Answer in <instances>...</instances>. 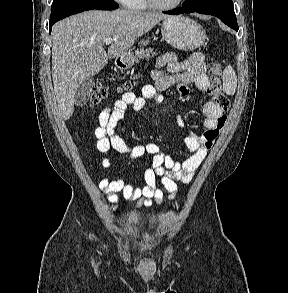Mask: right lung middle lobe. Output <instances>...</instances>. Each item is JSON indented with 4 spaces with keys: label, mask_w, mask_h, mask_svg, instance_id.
Wrapping results in <instances>:
<instances>
[{
    "label": "right lung middle lobe",
    "mask_w": 288,
    "mask_h": 293,
    "mask_svg": "<svg viewBox=\"0 0 288 293\" xmlns=\"http://www.w3.org/2000/svg\"><path fill=\"white\" fill-rule=\"evenodd\" d=\"M118 7L114 0H53L50 21L82 9L112 10Z\"/></svg>",
    "instance_id": "right-lung-middle-lobe-1"
}]
</instances>
